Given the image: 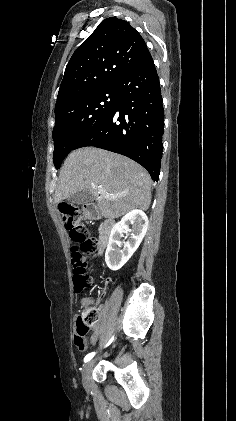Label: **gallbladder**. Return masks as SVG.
<instances>
[{
  "label": "gallbladder",
  "mask_w": 236,
  "mask_h": 421,
  "mask_svg": "<svg viewBox=\"0 0 236 421\" xmlns=\"http://www.w3.org/2000/svg\"><path fill=\"white\" fill-rule=\"evenodd\" d=\"M67 202H74V204H84V202H89L91 200L90 194L86 192V190H77V192H74V194H71V196H68L66 198Z\"/></svg>",
  "instance_id": "gallbladder-1"
}]
</instances>
